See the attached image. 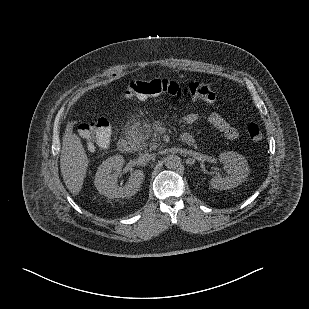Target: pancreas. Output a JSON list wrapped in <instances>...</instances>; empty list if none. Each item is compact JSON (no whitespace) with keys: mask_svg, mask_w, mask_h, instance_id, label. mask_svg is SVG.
Here are the masks:
<instances>
[{"mask_svg":"<svg viewBox=\"0 0 309 309\" xmlns=\"http://www.w3.org/2000/svg\"><path fill=\"white\" fill-rule=\"evenodd\" d=\"M132 136L141 148H146L149 145L151 149H155L159 145V134L153 129H139Z\"/></svg>","mask_w":309,"mask_h":309,"instance_id":"pancreas-1","label":"pancreas"}]
</instances>
